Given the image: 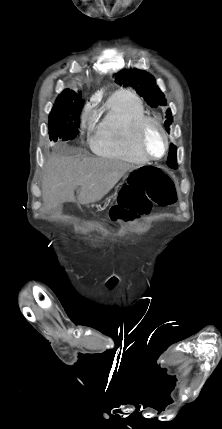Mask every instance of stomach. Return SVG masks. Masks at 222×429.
<instances>
[{"label":"stomach","instance_id":"obj_1","mask_svg":"<svg viewBox=\"0 0 222 429\" xmlns=\"http://www.w3.org/2000/svg\"><path fill=\"white\" fill-rule=\"evenodd\" d=\"M131 175H132V174H131ZM120 190H121V188L115 192V194H114V198H117V196L119 195Z\"/></svg>","mask_w":222,"mask_h":429}]
</instances>
